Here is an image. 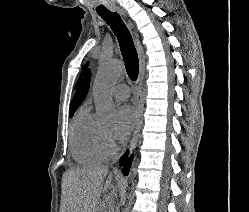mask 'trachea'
<instances>
[{"label":"trachea","instance_id":"3493384b","mask_svg":"<svg viewBox=\"0 0 249 212\" xmlns=\"http://www.w3.org/2000/svg\"><path fill=\"white\" fill-rule=\"evenodd\" d=\"M99 15L111 26L119 41L121 55L125 62L127 74L131 80H136L139 72L138 54L134 47L131 34L116 12L99 13Z\"/></svg>","mask_w":249,"mask_h":212}]
</instances>
